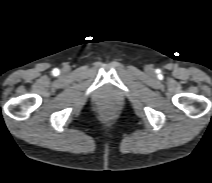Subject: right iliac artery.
Returning a JSON list of instances; mask_svg holds the SVG:
<instances>
[{"instance_id":"obj_1","label":"right iliac artery","mask_w":212,"mask_h":183,"mask_svg":"<svg viewBox=\"0 0 212 183\" xmlns=\"http://www.w3.org/2000/svg\"><path fill=\"white\" fill-rule=\"evenodd\" d=\"M54 74H58L59 70L58 69H54Z\"/></svg>"}]
</instances>
